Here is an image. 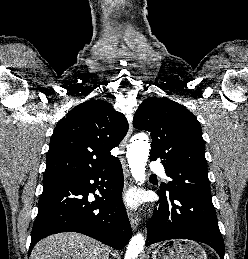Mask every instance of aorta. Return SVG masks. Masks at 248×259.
I'll return each instance as SVG.
<instances>
[{"instance_id":"obj_1","label":"aorta","mask_w":248,"mask_h":259,"mask_svg":"<svg viewBox=\"0 0 248 259\" xmlns=\"http://www.w3.org/2000/svg\"><path fill=\"white\" fill-rule=\"evenodd\" d=\"M149 150L150 144L145 135L136 136L127 149L126 156L131 174L140 185L145 180V166L148 160ZM140 242L141 239L138 237L132 241L127 252L128 259H136L138 257L141 248L139 245Z\"/></svg>"}]
</instances>
